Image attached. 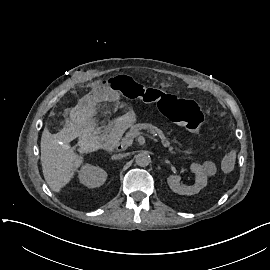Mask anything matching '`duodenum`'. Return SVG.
Returning <instances> with one entry per match:
<instances>
[{
    "label": "duodenum",
    "instance_id": "duodenum-1",
    "mask_svg": "<svg viewBox=\"0 0 270 270\" xmlns=\"http://www.w3.org/2000/svg\"><path fill=\"white\" fill-rule=\"evenodd\" d=\"M124 129L123 121H115L107 127L103 139V146L107 151L113 150L118 145Z\"/></svg>",
    "mask_w": 270,
    "mask_h": 270
}]
</instances>
